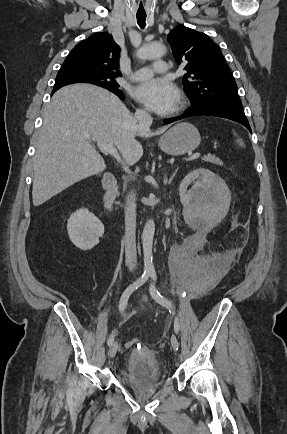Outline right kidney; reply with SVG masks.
I'll return each mask as SVG.
<instances>
[{
	"label": "right kidney",
	"instance_id": "1",
	"mask_svg": "<svg viewBox=\"0 0 287 434\" xmlns=\"http://www.w3.org/2000/svg\"><path fill=\"white\" fill-rule=\"evenodd\" d=\"M71 242L80 250H90L99 243L104 234V225L88 209H79L73 213L67 223Z\"/></svg>",
	"mask_w": 287,
	"mask_h": 434
}]
</instances>
